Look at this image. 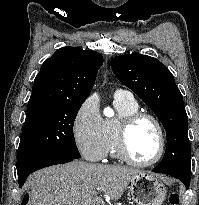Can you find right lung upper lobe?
I'll return each mask as SVG.
<instances>
[{"label": "right lung upper lobe", "instance_id": "right-lung-upper-lobe-1", "mask_svg": "<svg viewBox=\"0 0 199 205\" xmlns=\"http://www.w3.org/2000/svg\"><path fill=\"white\" fill-rule=\"evenodd\" d=\"M103 64L100 53L63 47L41 66L33 84L27 112L48 105L85 101Z\"/></svg>", "mask_w": 199, "mask_h": 205}]
</instances>
